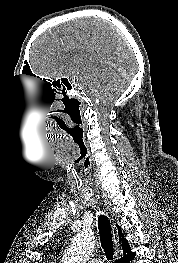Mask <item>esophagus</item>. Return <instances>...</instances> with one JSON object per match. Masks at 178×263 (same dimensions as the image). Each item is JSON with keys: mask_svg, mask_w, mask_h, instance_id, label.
I'll list each match as a JSON object with an SVG mask.
<instances>
[{"mask_svg": "<svg viewBox=\"0 0 178 263\" xmlns=\"http://www.w3.org/2000/svg\"><path fill=\"white\" fill-rule=\"evenodd\" d=\"M112 235H113L114 243L117 244L118 243V232L114 225H112Z\"/></svg>", "mask_w": 178, "mask_h": 263, "instance_id": "esophagus-1", "label": "esophagus"}]
</instances>
